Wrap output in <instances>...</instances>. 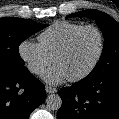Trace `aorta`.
Wrapping results in <instances>:
<instances>
[{"mask_svg":"<svg viewBox=\"0 0 119 119\" xmlns=\"http://www.w3.org/2000/svg\"><path fill=\"white\" fill-rule=\"evenodd\" d=\"M62 105V99L58 94H51L46 98V106L50 110H59Z\"/></svg>","mask_w":119,"mask_h":119,"instance_id":"1","label":"aorta"}]
</instances>
